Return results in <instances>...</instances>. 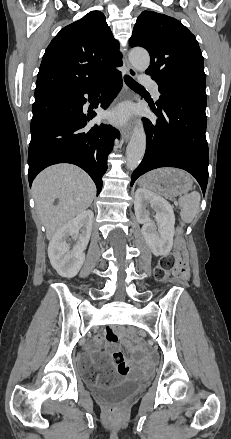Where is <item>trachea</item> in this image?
Returning <instances> with one entry per match:
<instances>
[{"instance_id":"3493384b","label":"trachea","mask_w":231,"mask_h":439,"mask_svg":"<svg viewBox=\"0 0 231 439\" xmlns=\"http://www.w3.org/2000/svg\"><path fill=\"white\" fill-rule=\"evenodd\" d=\"M125 83L132 89L144 90V87L138 84L132 77L129 75H125L124 77Z\"/></svg>"}]
</instances>
